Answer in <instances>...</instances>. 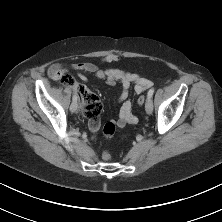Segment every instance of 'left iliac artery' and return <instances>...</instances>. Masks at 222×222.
I'll use <instances>...</instances> for the list:
<instances>
[{"label": "left iliac artery", "mask_w": 222, "mask_h": 222, "mask_svg": "<svg viewBox=\"0 0 222 222\" xmlns=\"http://www.w3.org/2000/svg\"><path fill=\"white\" fill-rule=\"evenodd\" d=\"M154 94V88H151L149 91H148V97H152Z\"/></svg>", "instance_id": "44dca946"}]
</instances>
